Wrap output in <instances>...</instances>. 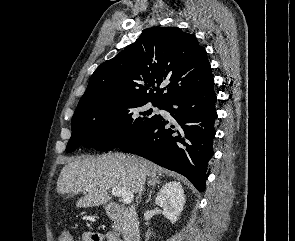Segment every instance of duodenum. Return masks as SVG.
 Returning a JSON list of instances; mask_svg holds the SVG:
<instances>
[{"mask_svg":"<svg viewBox=\"0 0 295 241\" xmlns=\"http://www.w3.org/2000/svg\"><path fill=\"white\" fill-rule=\"evenodd\" d=\"M105 211L110 218L124 222L123 241H140V223L134 207L108 203Z\"/></svg>","mask_w":295,"mask_h":241,"instance_id":"410a0bca","label":"duodenum"}]
</instances>
